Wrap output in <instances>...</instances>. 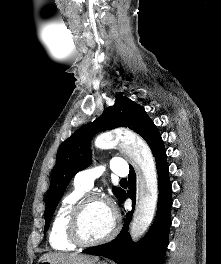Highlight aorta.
Segmentation results:
<instances>
[{
  "instance_id": "1",
  "label": "aorta",
  "mask_w": 221,
  "mask_h": 264,
  "mask_svg": "<svg viewBox=\"0 0 221 264\" xmlns=\"http://www.w3.org/2000/svg\"><path fill=\"white\" fill-rule=\"evenodd\" d=\"M117 144H120L139 171L137 205L129 230L132 240L138 241L150 226L156 212L158 179L155 161L148 145L136 136L104 133L95 140V146L99 149H109Z\"/></svg>"
}]
</instances>
